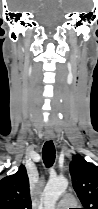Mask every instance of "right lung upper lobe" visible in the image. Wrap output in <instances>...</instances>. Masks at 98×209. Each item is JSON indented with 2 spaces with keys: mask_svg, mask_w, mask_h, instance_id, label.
<instances>
[{
  "mask_svg": "<svg viewBox=\"0 0 98 209\" xmlns=\"http://www.w3.org/2000/svg\"><path fill=\"white\" fill-rule=\"evenodd\" d=\"M0 209H31L29 179L25 166L0 180Z\"/></svg>",
  "mask_w": 98,
  "mask_h": 209,
  "instance_id": "right-lung-upper-lobe-1",
  "label": "right lung upper lobe"
}]
</instances>
